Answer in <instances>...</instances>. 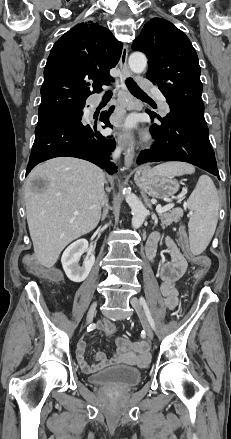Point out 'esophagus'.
<instances>
[{
	"label": "esophagus",
	"instance_id": "obj_1",
	"mask_svg": "<svg viewBox=\"0 0 231 439\" xmlns=\"http://www.w3.org/2000/svg\"><path fill=\"white\" fill-rule=\"evenodd\" d=\"M127 58H128V46L124 45L119 61V66L124 76L131 77L132 73L127 65ZM116 137L118 143H123V142L128 143L127 149L124 152V163L125 166L130 167L134 158V143L131 138V133L125 131L123 132L117 131Z\"/></svg>",
	"mask_w": 231,
	"mask_h": 439
}]
</instances>
